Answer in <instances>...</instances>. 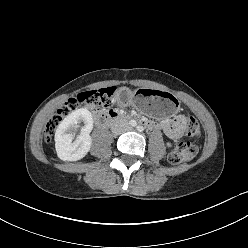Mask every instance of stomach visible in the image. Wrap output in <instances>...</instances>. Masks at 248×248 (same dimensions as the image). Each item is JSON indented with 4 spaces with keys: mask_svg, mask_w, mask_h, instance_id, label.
Returning <instances> with one entry per match:
<instances>
[{
    "mask_svg": "<svg viewBox=\"0 0 248 248\" xmlns=\"http://www.w3.org/2000/svg\"><path fill=\"white\" fill-rule=\"evenodd\" d=\"M113 99L119 107L125 108L132 105L141 114L159 118L176 114L179 107V101L173 95L161 92L153 86L133 91L122 87L115 91Z\"/></svg>",
    "mask_w": 248,
    "mask_h": 248,
    "instance_id": "0dacf381",
    "label": "stomach"
}]
</instances>
